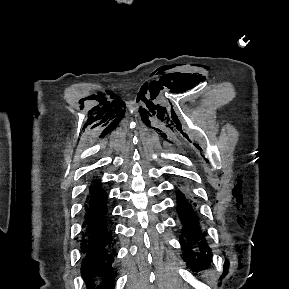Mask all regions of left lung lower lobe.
Wrapping results in <instances>:
<instances>
[{
    "label": "left lung lower lobe",
    "mask_w": 289,
    "mask_h": 289,
    "mask_svg": "<svg viewBox=\"0 0 289 289\" xmlns=\"http://www.w3.org/2000/svg\"><path fill=\"white\" fill-rule=\"evenodd\" d=\"M177 201V212L182 224L183 235L180 243L184 251L183 259L193 270L206 268L209 265L211 250L207 246L199 219L195 214L196 203L185 187L178 190Z\"/></svg>",
    "instance_id": "0a47b994"
}]
</instances>
